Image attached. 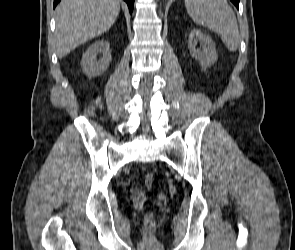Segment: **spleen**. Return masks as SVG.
I'll return each mask as SVG.
<instances>
[{
  "label": "spleen",
  "instance_id": "obj_1",
  "mask_svg": "<svg viewBox=\"0 0 295 250\" xmlns=\"http://www.w3.org/2000/svg\"><path fill=\"white\" fill-rule=\"evenodd\" d=\"M185 5L194 22L216 32L229 51L238 49L237 19L227 0H185Z\"/></svg>",
  "mask_w": 295,
  "mask_h": 250
}]
</instances>
